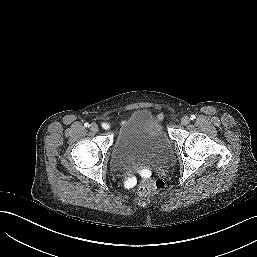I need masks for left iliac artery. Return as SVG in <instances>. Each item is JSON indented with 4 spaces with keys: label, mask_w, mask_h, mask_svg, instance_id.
<instances>
[{
    "label": "left iliac artery",
    "mask_w": 257,
    "mask_h": 257,
    "mask_svg": "<svg viewBox=\"0 0 257 257\" xmlns=\"http://www.w3.org/2000/svg\"><path fill=\"white\" fill-rule=\"evenodd\" d=\"M195 118H196L195 115H191V116H190V119H191V120H194Z\"/></svg>",
    "instance_id": "44dca946"
}]
</instances>
